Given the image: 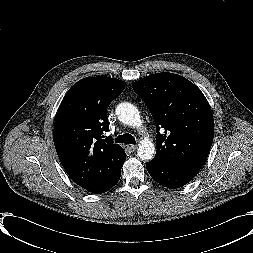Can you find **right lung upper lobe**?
I'll return each instance as SVG.
<instances>
[{
	"label": "right lung upper lobe",
	"mask_w": 253,
	"mask_h": 253,
	"mask_svg": "<svg viewBox=\"0 0 253 253\" xmlns=\"http://www.w3.org/2000/svg\"><path fill=\"white\" fill-rule=\"evenodd\" d=\"M125 82L111 77L84 78L66 93L55 120L53 139L58 157L70 178L82 188L99 193L121 171L123 148L103 132L110 103Z\"/></svg>",
	"instance_id": "obj_1"
}]
</instances>
